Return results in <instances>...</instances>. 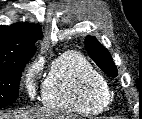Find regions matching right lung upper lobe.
<instances>
[{"label": "right lung upper lobe", "instance_id": "1", "mask_svg": "<svg viewBox=\"0 0 142 119\" xmlns=\"http://www.w3.org/2000/svg\"><path fill=\"white\" fill-rule=\"evenodd\" d=\"M41 38L42 31L39 25H0V64L31 58L36 51L35 43Z\"/></svg>", "mask_w": 142, "mask_h": 119}]
</instances>
